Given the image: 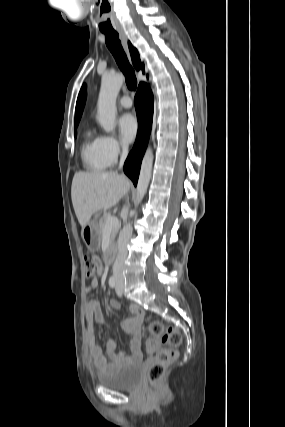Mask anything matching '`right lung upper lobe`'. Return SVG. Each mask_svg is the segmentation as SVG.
<instances>
[{
	"mask_svg": "<svg viewBox=\"0 0 285 427\" xmlns=\"http://www.w3.org/2000/svg\"><path fill=\"white\" fill-rule=\"evenodd\" d=\"M128 46H129V50H130V54H131V58H132V62L134 67L136 68V70L142 69V72L144 73V64L141 63L140 61V57H139V53L136 50V48H134L130 42H128ZM85 98H86V89H85V85L82 87L78 99H77V103H76V110H75V128L77 127L79 120L81 118V114L83 111V107L85 104Z\"/></svg>",
	"mask_w": 285,
	"mask_h": 427,
	"instance_id": "1",
	"label": "right lung upper lobe"
}]
</instances>
